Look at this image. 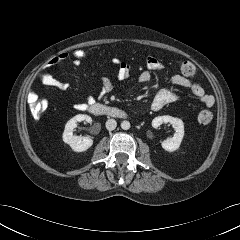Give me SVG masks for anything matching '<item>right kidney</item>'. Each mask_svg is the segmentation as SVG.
Wrapping results in <instances>:
<instances>
[{
    "instance_id": "obj_1",
    "label": "right kidney",
    "mask_w": 240,
    "mask_h": 240,
    "mask_svg": "<svg viewBox=\"0 0 240 240\" xmlns=\"http://www.w3.org/2000/svg\"><path fill=\"white\" fill-rule=\"evenodd\" d=\"M81 121L91 123L92 118L84 114L76 115L66 123L63 132V141L75 152L86 151L93 145V140L89 136L82 137L73 134L74 128L77 127V122Z\"/></svg>"
}]
</instances>
